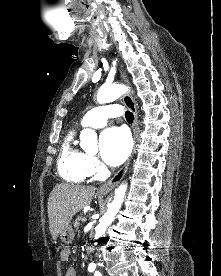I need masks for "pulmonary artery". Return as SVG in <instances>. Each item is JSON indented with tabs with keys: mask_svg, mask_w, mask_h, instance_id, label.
Listing matches in <instances>:
<instances>
[{
	"mask_svg": "<svg viewBox=\"0 0 221 276\" xmlns=\"http://www.w3.org/2000/svg\"><path fill=\"white\" fill-rule=\"evenodd\" d=\"M122 114L118 105L109 104L95 107L88 111L81 120L82 127L100 128L107 124L109 118Z\"/></svg>",
	"mask_w": 221,
	"mask_h": 276,
	"instance_id": "e3ab8cb5",
	"label": "pulmonary artery"
}]
</instances>
